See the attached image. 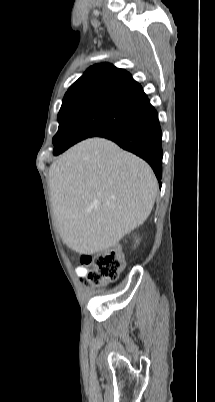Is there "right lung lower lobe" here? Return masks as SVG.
I'll return each mask as SVG.
<instances>
[{
  "instance_id": "right-lung-lower-lobe-1",
  "label": "right lung lower lobe",
  "mask_w": 215,
  "mask_h": 402,
  "mask_svg": "<svg viewBox=\"0 0 215 402\" xmlns=\"http://www.w3.org/2000/svg\"><path fill=\"white\" fill-rule=\"evenodd\" d=\"M103 137L144 159L152 167L158 181L161 180L162 132L158 114L150 102L127 125Z\"/></svg>"
}]
</instances>
